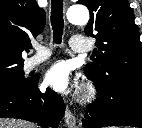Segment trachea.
Returning a JSON list of instances; mask_svg holds the SVG:
<instances>
[{
	"label": "trachea",
	"mask_w": 142,
	"mask_h": 128,
	"mask_svg": "<svg viewBox=\"0 0 142 128\" xmlns=\"http://www.w3.org/2000/svg\"><path fill=\"white\" fill-rule=\"evenodd\" d=\"M51 25L53 29V41L60 44L62 41L64 20H63V0H51Z\"/></svg>",
	"instance_id": "1"
}]
</instances>
